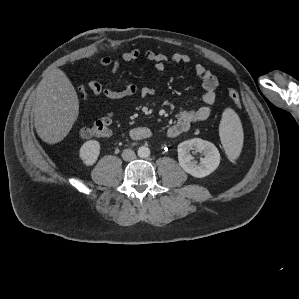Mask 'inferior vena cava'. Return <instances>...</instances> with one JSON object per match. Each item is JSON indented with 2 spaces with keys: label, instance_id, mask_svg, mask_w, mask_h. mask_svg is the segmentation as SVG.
I'll list each match as a JSON object with an SVG mask.
<instances>
[{
  "label": "inferior vena cava",
  "instance_id": "obj_1",
  "mask_svg": "<svg viewBox=\"0 0 299 299\" xmlns=\"http://www.w3.org/2000/svg\"><path fill=\"white\" fill-rule=\"evenodd\" d=\"M122 158L125 160V161H132L136 158V154L133 150L131 149H125L123 152H122Z\"/></svg>",
  "mask_w": 299,
  "mask_h": 299
}]
</instances>
